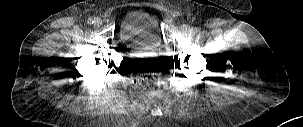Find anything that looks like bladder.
<instances>
[{
	"mask_svg": "<svg viewBox=\"0 0 303 127\" xmlns=\"http://www.w3.org/2000/svg\"><path fill=\"white\" fill-rule=\"evenodd\" d=\"M119 34L121 40L129 46H153L162 44L158 17L145 9H132L121 22Z\"/></svg>",
	"mask_w": 303,
	"mask_h": 127,
	"instance_id": "31cf9c89",
	"label": "bladder"
}]
</instances>
